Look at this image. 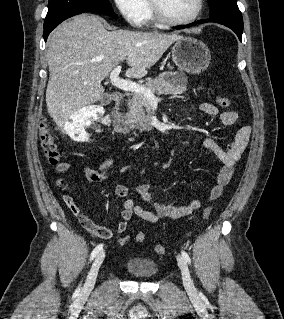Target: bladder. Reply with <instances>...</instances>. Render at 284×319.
Masks as SVG:
<instances>
[{"label": "bladder", "instance_id": "obj_1", "mask_svg": "<svg viewBox=\"0 0 284 319\" xmlns=\"http://www.w3.org/2000/svg\"><path fill=\"white\" fill-rule=\"evenodd\" d=\"M125 268L129 274L141 279L153 278L158 272V264L154 260L142 257L128 258Z\"/></svg>", "mask_w": 284, "mask_h": 319}]
</instances>
